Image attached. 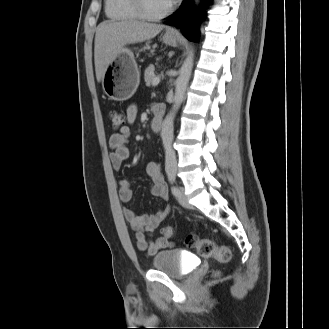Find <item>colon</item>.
<instances>
[{"instance_id":"5ec220e1","label":"colon","mask_w":329,"mask_h":329,"mask_svg":"<svg viewBox=\"0 0 329 329\" xmlns=\"http://www.w3.org/2000/svg\"><path fill=\"white\" fill-rule=\"evenodd\" d=\"M109 115L113 129L119 130L125 127L127 118L121 111L111 110ZM161 233L165 239H172L175 236V228L165 226L162 228ZM186 244L201 257L212 258L221 263H227L231 260V252L227 247L217 245L208 238L190 234L186 239Z\"/></svg>"}]
</instances>
